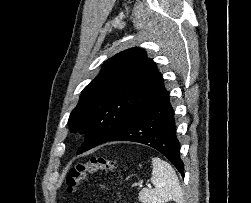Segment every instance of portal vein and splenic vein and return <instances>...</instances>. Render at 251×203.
<instances>
[{
    "mask_svg": "<svg viewBox=\"0 0 251 203\" xmlns=\"http://www.w3.org/2000/svg\"><path fill=\"white\" fill-rule=\"evenodd\" d=\"M140 186H142V185H140ZM146 186L149 187V188H151V184H146Z\"/></svg>",
    "mask_w": 251,
    "mask_h": 203,
    "instance_id": "obj_1",
    "label": "portal vein and splenic vein"
}]
</instances>
